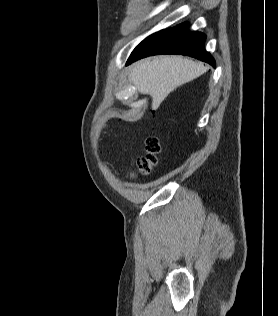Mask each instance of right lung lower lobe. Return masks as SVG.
Segmentation results:
<instances>
[{"instance_id": "1", "label": "right lung lower lobe", "mask_w": 278, "mask_h": 316, "mask_svg": "<svg viewBox=\"0 0 278 316\" xmlns=\"http://www.w3.org/2000/svg\"><path fill=\"white\" fill-rule=\"evenodd\" d=\"M188 23L156 32L142 41L130 55L127 65L156 54H182L198 58L215 67V61L204 48L206 35L187 30Z\"/></svg>"}]
</instances>
